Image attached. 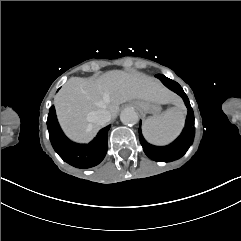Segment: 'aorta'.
Wrapping results in <instances>:
<instances>
[{
    "instance_id": "1",
    "label": "aorta",
    "mask_w": 241,
    "mask_h": 241,
    "mask_svg": "<svg viewBox=\"0 0 241 241\" xmlns=\"http://www.w3.org/2000/svg\"><path fill=\"white\" fill-rule=\"evenodd\" d=\"M120 120L124 125H135L139 121V115L134 109L125 108L121 111Z\"/></svg>"
}]
</instances>
